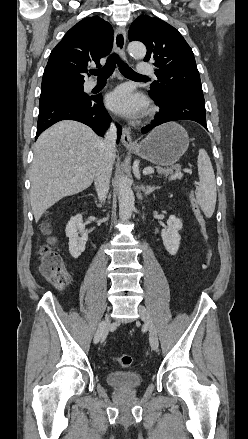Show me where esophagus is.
Segmentation results:
<instances>
[{"label": "esophagus", "instance_id": "esophagus-1", "mask_svg": "<svg viewBox=\"0 0 248 439\" xmlns=\"http://www.w3.org/2000/svg\"><path fill=\"white\" fill-rule=\"evenodd\" d=\"M127 32L126 29L122 26H119L115 30L114 35V49L116 53L122 58V60L126 61L125 55V44H126ZM122 144L128 148L132 149L136 146V143L133 142L131 137V130L129 127H123L122 135H121Z\"/></svg>", "mask_w": 248, "mask_h": 439}]
</instances>
